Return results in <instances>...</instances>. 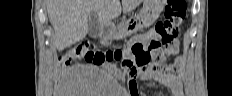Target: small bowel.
<instances>
[{
  "label": "small bowel",
  "mask_w": 232,
  "mask_h": 96,
  "mask_svg": "<svg viewBox=\"0 0 232 96\" xmlns=\"http://www.w3.org/2000/svg\"><path fill=\"white\" fill-rule=\"evenodd\" d=\"M152 32H144L135 36L129 43V48L135 44L146 46L149 36ZM173 53H178L179 44L177 41L173 43ZM182 61L178 57L173 65L167 66L161 70L148 69L141 74L142 80H155L160 84L167 87L173 96H183V85L181 76ZM109 70H113V67L109 66ZM132 92L129 96H141V93H137V82L135 80L130 81Z\"/></svg>",
  "instance_id": "obj_1"
}]
</instances>
